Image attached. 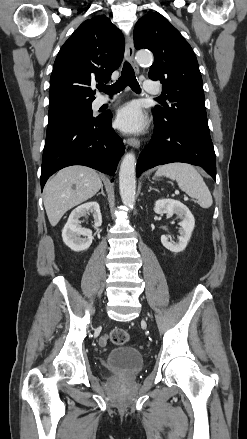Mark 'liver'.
<instances>
[{"label":"liver","mask_w":247,"mask_h":439,"mask_svg":"<svg viewBox=\"0 0 247 439\" xmlns=\"http://www.w3.org/2000/svg\"><path fill=\"white\" fill-rule=\"evenodd\" d=\"M98 173L89 167L74 165L60 170L44 188V207L52 226L71 208L92 198L101 188Z\"/></svg>","instance_id":"1"}]
</instances>
